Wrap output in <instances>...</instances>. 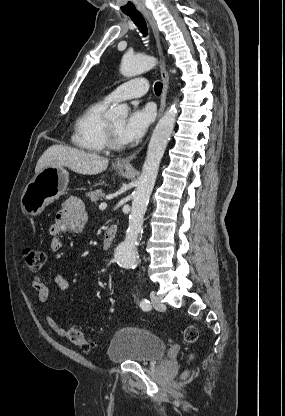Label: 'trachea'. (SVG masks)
<instances>
[{
    "mask_svg": "<svg viewBox=\"0 0 285 416\" xmlns=\"http://www.w3.org/2000/svg\"><path fill=\"white\" fill-rule=\"evenodd\" d=\"M128 15V17L131 18V20L135 23V25L138 27L139 31H141V33L143 34L144 37L147 36V27H146V22L143 18V16L141 15V13H130V14H126ZM162 88L163 85L161 82H156L155 86H154V91L156 93V95H161L162 92Z\"/></svg>",
    "mask_w": 285,
    "mask_h": 416,
    "instance_id": "obj_1",
    "label": "trachea"
}]
</instances>
